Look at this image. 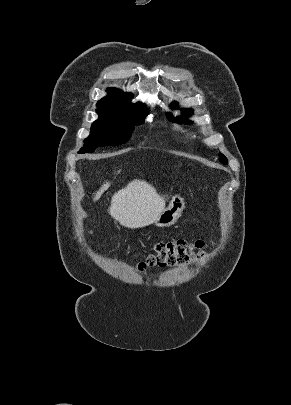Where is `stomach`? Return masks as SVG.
Segmentation results:
<instances>
[{
  "mask_svg": "<svg viewBox=\"0 0 291 405\" xmlns=\"http://www.w3.org/2000/svg\"><path fill=\"white\" fill-rule=\"evenodd\" d=\"M185 208V202L180 196H174L169 203V206L163 210L155 221V225L158 227H167L175 222L181 216L183 209Z\"/></svg>",
  "mask_w": 291,
  "mask_h": 405,
  "instance_id": "1",
  "label": "stomach"
}]
</instances>
